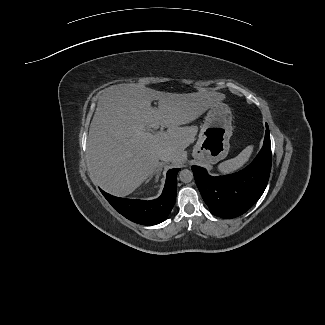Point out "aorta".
I'll return each mask as SVG.
<instances>
[{
  "mask_svg": "<svg viewBox=\"0 0 325 325\" xmlns=\"http://www.w3.org/2000/svg\"><path fill=\"white\" fill-rule=\"evenodd\" d=\"M179 179L183 183H190L193 180V173L188 169H183L179 173Z\"/></svg>",
  "mask_w": 325,
  "mask_h": 325,
  "instance_id": "762f6f07",
  "label": "aorta"
}]
</instances>
